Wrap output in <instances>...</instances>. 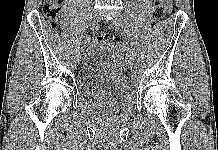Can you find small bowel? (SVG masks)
<instances>
[{"mask_svg":"<svg viewBox=\"0 0 218 150\" xmlns=\"http://www.w3.org/2000/svg\"><path fill=\"white\" fill-rule=\"evenodd\" d=\"M165 6L170 10L172 8V0H163Z\"/></svg>","mask_w":218,"mask_h":150,"instance_id":"c3829d8e","label":"small bowel"}]
</instances>
